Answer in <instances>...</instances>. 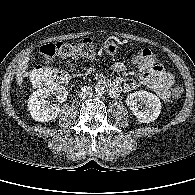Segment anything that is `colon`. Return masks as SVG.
Segmentation results:
<instances>
[{
	"mask_svg": "<svg viewBox=\"0 0 195 195\" xmlns=\"http://www.w3.org/2000/svg\"><path fill=\"white\" fill-rule=\"evenodd\" d=\"M43 59L51 60L56 57H76L92 60L95 57V48L90 39H80L76 42H55L44 44L40 48ZM133 62L149 70H160L156 56L149 49H141L132 56ZM33 86H50L67 83L68 74L60 69L50 66H37L26 74ZM183 95V88L177 86L172 91V97L178 100Z\"/></svg>",
	"mask_w": 195,
	"mask_h": 195,
	"instance_id": "5ec220e1",
	"label": "colon"
}]
</instances>
